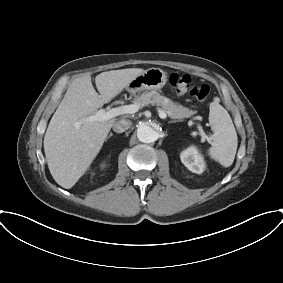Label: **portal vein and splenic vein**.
<instances>
[{"mask_svg":"<svg viewBox=\"0 0 283 283\" xmlns=\"http://www.w3.org/2000/svg\"><path fill=\"white\" fill-rule=\"evenodd\" d=\"M140 108L139 104H129V105H123L119 107L112 108L110 110L100 109L98 110L94 115L88 117L89 121H106L109 119H112L114 117H117L119 115L124 114H134L136 113ZM159 117L161 119H166L167 114L164 110L158 109ZM199 130V134L202 137L203 140L207 139V136L200 124L197 126Z\"/></svg>","mask_w":283,"mask_h":283,"instance_id":"18ae733b","label":"portal vein and splenic vein"}]
</instances>
